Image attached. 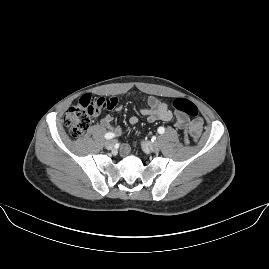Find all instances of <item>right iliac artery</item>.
I'll return each mask as SVG.
<instances>
[{"instance_id":"obj_1","label":"right iliac artery","mask_w":269,"mask_h":269,"mask_svg":"<svg viewBox=\"0 0 269 269\" xmlns=\"http://www.w3.org/2000/svg\"><path fill=\"white\" fill-rule=\"evenodd\" d=\"M113 137H114V134L111 133V132L105 134V138H106V139H111V138H113Z\"/></svg>"}]
</instances>
